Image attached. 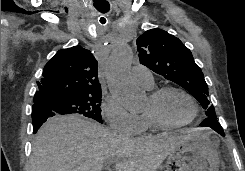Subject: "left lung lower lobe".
Returning <instances> with one entry per match:
<instances>
[{"label":"left lung lower lobe","mask_w":245,"mask_h":171,"mask_svg":"<svg viewBox=\"0 0 245 171\" xmlns=\"http://www.w3.org/2000/svg\"><path fill=\"white\" fill-rule=\"evenodd\" d=\"M200 126L203 127H210L213 130H215L217 133L221 134L222 136H224V131L222 126L220 125V123L217 121V119H210V118H206L205 120H203L200 123Z\"/></svg>","instance_id":"obj_1"}]
</instances>
